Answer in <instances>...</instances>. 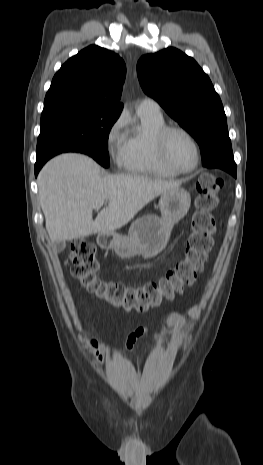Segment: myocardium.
Instances as JSON below:
<instances>
[{"label":"myocardium","mask_w":263,"mask_h":465,"mask_svg":"<svg viewBox=\"0 0 263 465\" xmlns=\"http://www.w3.org/2000/svg\"><path fill=\"white\" fill-rule=\"evenodd\" d=\"M173 133H180L187 137L193 144L195 148V162L193 166L189 169H181L176 167L171 163V161L168 158L167 154V146H168V140L169 137ZM155 147H156V152H157V157L160 161V163L169 171L175 173V174H189L192 173L197 169L199 166L200 160H201V149L200 145L197 141V139L191 134L188 130H186L183 127L179 126H165L163 127L155 137Z\"/></svg>","instance_id":"myocardium-1"}]
</instances>
